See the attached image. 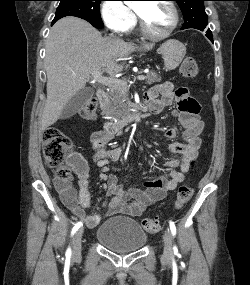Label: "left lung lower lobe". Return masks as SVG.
<instances>
[{"instance_id":"obj_1","label":"left lung lower lobe","mask_w":250,"mask_h":285,"mask_svg":"<svg viewBox=\"0 0 250 285\" xmlns=\"http://www.w3.org/2000/svg\"><path fill=\"white\" fill-rule=\"evenodd\" d=\"M206 36H207L211 41H213V36H212V33H211L210 31H207Z\"/></svg>"}]
</instances>
